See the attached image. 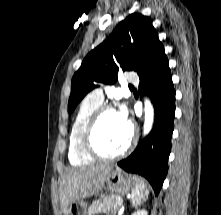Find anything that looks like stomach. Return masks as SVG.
<instances>
[{
  "mask_svg": "<svg viewBox=\"0 0 221 215\" xmlns=\"http://www.w3.org/2000/svg\"><path fill=\"white\" fill-rule=\"evenodd\" d=\"M107 189L119 194H128L134 189L135 180L120 169L111 170L106 178ZM87 203L83 200H77L69 205L63 211L62 215H87Z\"/></svg>",
  "mask_w": 221,
  "mask_h": 215,
  "instance_id": "stomach-1",
  "label": "stomach"
}]
</instances>
